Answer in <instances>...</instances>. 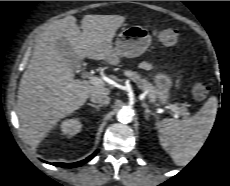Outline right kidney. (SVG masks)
I'll return each instance as SVG.
<instances>
[{
    "mask_svg": "<svg viewBox=\"0 0 230 186\" xmlns=\"http://www.w3.org/2000/svg\"><path fill=\"white\" fill-rule=\"evenodd\" d=\"M82 124L78 119H69L61 124V131L68 136H74L81 131Z\"/></svg>",
    "mask_w": 230,
    "mask_h": 186,
    "instance_id": "right-kidney-1",
    "label": "right kidney"
}]
</instances>
